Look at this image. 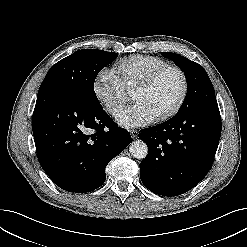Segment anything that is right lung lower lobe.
<instances>
[{"mask_svg": "<svg viewBox=\"0 0 247 247\" xmlns=\"http://www.w3.org/2000/svg\"><path fill=\"white\" fill-rule=\"evenodd\" d=\"M32 129L43 170L57 186L75 193L100 187L107 164L131 142L129 132L100 104L65 86L38 93Z\"/></svg>", "mask_w": 247, "mask_h": 247, "instance_id": "obj_1", "label": "right lung lower lobe"}]
</instances>
